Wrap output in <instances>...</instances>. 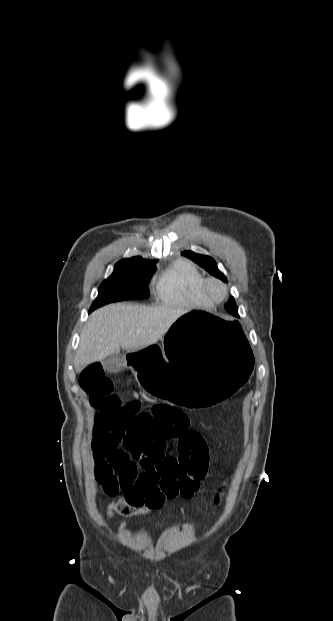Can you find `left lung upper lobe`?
<instances>
[{"label": "left lung upper lobe", "instance_id": "obj_1", "mask_svg": "<svg viewBox=\"0 0 333 621\" xmlns=\"http://www.w3.org/2000/svg\"><path fill=\"white\" fill-rule=\"evenodd\" d=\"M181 254L190 258L196 264L200 265L202 268L208 271L211 275L221 279L224 282L227 281L226 277L218 270L216 262L211 257L201 255V254H196L192 251H183L181 252ZM226 310L233 316H239L238 307L236 306L235 300L233 297L226 304Z\"/></svg>", "mask_w": 333, "mask_h": 621}]
</instances>
